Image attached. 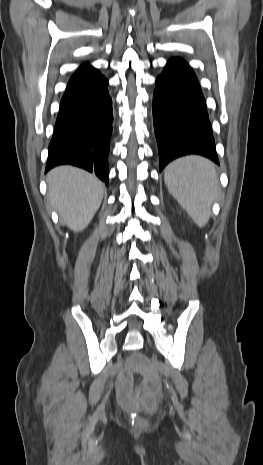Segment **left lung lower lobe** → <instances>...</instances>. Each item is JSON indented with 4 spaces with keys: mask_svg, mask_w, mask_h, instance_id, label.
Here are the masks:
<instances>
[{
    "mask_svg": "<svg viewBox=\"0 0 263 465\" xmlns=\"http://www.w3.org/2000/svg\"><path fill=\"white\" fill-rule=\"evenodd\" d=\"M153 121L160 171L187 154H200L219 164L204 96L196 75L182 59H170L156 79Z\"/></svg>",
    "mask_w": 263,
    "mask_h": 465,
    "instance_id": "0a47b994",
    "label": "left lung lower lobe"
}]
</instances>
